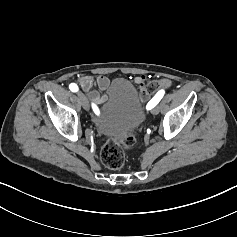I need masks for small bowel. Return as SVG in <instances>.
Returning a JSON list of instances; mask_svg holds the SVG:
<instances>
[{
    "instance_id": "c3829d8e",
    "label": "small bowel",
    "mask_w": 237,
    "mask_h": 237,
    "mask_svg": "<svg viewBox=\"0 0 237 237\" xmlns=\"http://www.w3.org/2000/svg\"><path fill=\"white\" fill-rule=\"evenodd\" d=\"M135 82L139 85L141 93L144 97H147L146 94V85L147 78L146 76H137ZM78 83L81 88L87 93L89 99L93 104L100 105L106 100V95L103 93L109 85L110 80L104 75H97L95 77L89 75H83L78 78ZM160 86L169 87L172 82L169 79H162L159 81Z\"/></svg>"
}]
</instances>
